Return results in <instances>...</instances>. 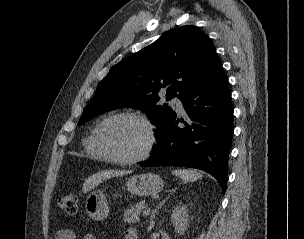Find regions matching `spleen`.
I'll use <instances>...</instances> for the list:
<instances>
[{
    "label": "spleen",
    "mask_w": 304,
    "mask_h": 239,
    "mask_svg": "<svg viewBox=\"0 0 304 239\" xmlns=\"http://www.w3.org/2000/svg\"><path fill=\"white\" fill-rule=\"evenodd\" d=\"M173 173L183 181H196L202 177L201 173L193 169H177Z\"/></svg>",
    "instance_id": "spleen-1"
}]
</instances>
